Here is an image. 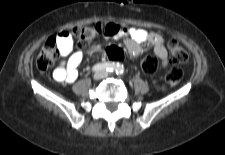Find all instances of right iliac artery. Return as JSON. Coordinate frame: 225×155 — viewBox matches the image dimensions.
<instances>
[{"label": "right iliac artery", "mask_w": 225, "mask_h": 155, "mask_svg": "<svg viewBox=\"0 0 225 155\" xmlns=\"http://www.w3.org/2000/svg\"><path fill=\"white\" fill-rule=\"evenodd\" d=\"M116 66L117 65L115 63H108V62L98 63L93 66L92 71L97 72V71L103 70V71L113 72L116 69Z\"/></svg>", "instance_id": "82829eb1"}]
</instances>
